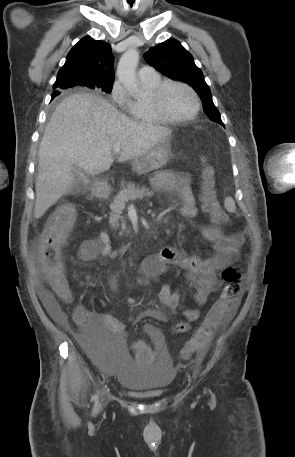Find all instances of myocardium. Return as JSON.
I'll list each match as a JSON object with an SVG mask.
<instances>
[{
    "label": "myocardium",
    "mask_w": 295,
    "mask_h": 457,
    "mask_svg": "<svg viewBox=\"0 0 295 457\" xmlns=\"http://www.w3.org/2000/svg\"><path fill=\"white\" fill-rule=\"evenodd\" d=\"M170 86H180L187 89L191 93L195 103L194 110L191 114L185 117H173L166 112L164 108V94ZM150 102L157 116L164 122L168 123H182L193 120L198 116L201 109V101L196 91L190 85L175 80H164L159 85H157L151 92Z\"/></svg>",
    "instance_id": "f54148a6"
}]
</instances>
